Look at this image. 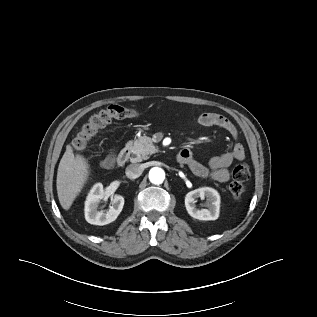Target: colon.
I'll return each instance as SVG.
<instances>
[{
    "label": "colon",
    "instance_id": "1",
    "mask_svg": "<svg viewBox=\"0 0 317 317\" xmlns=\"http://www.w3.org/2000/svg\"><path fill=\"white\" fill-rule=\"evenodd\" d=\"M139 114L136 109L123 107L121 105H110L94 113L85 123L73 139L72 145L75 150H84L90 140L113 119H124L135 117ZM250 177L249 166L245 163L237 164L232 171V181L229 190L234 198L238 199L244 191V182Z\"/></svg>",
    "mask_w": 317,
    "mask_h": 317
}]
</instances>
